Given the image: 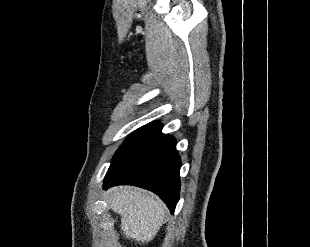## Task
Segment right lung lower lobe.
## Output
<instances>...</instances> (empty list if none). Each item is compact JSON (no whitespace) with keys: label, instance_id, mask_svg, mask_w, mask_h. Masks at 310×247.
I'll use <instances>...</instances> for the list:
<instances>
[{"label":"right lung lower lobe","instance_id":"obj_1","mask_svg":"<svg viewBox=\"0 0 310 247\" xmlns=\"http://www.w3.org/2000/svg\"><path fill=\"white\" fill-rule=\"evenodd\" d=\"M152 122L139 131L117 154L105 176L103 188L135 185L156 193L171 213L179 200L181 160L174 137Z\"/></svg>","mask_w":310,"mask_h":247}]
</instances>
